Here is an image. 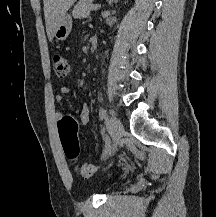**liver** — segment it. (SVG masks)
<instances>
[{
  "mask_svg": "<svg viewBox=\"0 0 216 217\" xmlns=\"http://www.w3.org/2000/svg\"><path fill=\"white\" fill-rule=\"evenodd\" d=\"M43 2L46 31L49 40H52L60 21L76 0H43Z\"/></svg>",
  "mask_w": 216,
  "mask_h": 217,
  "instance_id": "1",
  "label": "liver"
}]
</instances>
